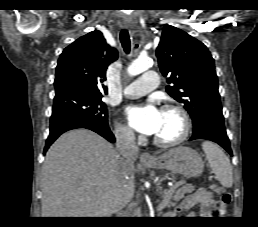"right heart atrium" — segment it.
I'll use <instances>...</instances> for the list:
<instances>
[{"label": "right heart atrium", "mask_w": 258, "mask_h": 227, "mask_svg": "<svg viewBox=\"0 0 258 227\" xmlns=\"http://www.w3.org/2000/svg\"><path fill=\"white\" fill-rule=\"evenodd\" d=\"M114 134L117 141L121 143L133 144L136 141L134 132L129 127L121 123H116Z\"/></svg>", "instance_id": "1"}]
</instances>
